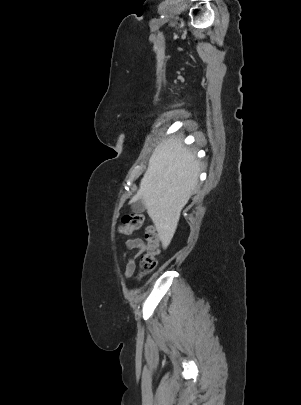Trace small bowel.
<instances>
[{
  "label": "small bowel",
  "instance_id": "small-bowel-1",
  "mask_svg": "<svg viewBox=\"0 0 301 405\" xmlns=\"http://www.w3.org/2000/svg\"><path fill=\"white\" fill-rule=\"evenodd\" d=\"M125 244L128 249L135 251V254L128 259L124 267L125 275L129 276L135 270L137 258L143 252L145 243L141 238H131L126 240Z\"/></svg>",
  "mask_w": 301,
  "mask_h": 405
}]
</instances>
